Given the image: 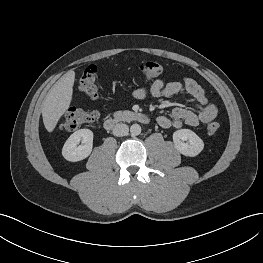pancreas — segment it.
Wrapping results in <instances>:
<instances>
[{
    "label": "pancreas",
    "mask_w": 263,
    "mask_h": 263,
    "mask_svg": "<svg viewBox=\"0 0 263 263\" xmlns=\"http://www.w3.org/2000/svg\"><path fill=\"white\" fill-rule=\"evenodd\" d=\"M132 114H133V112L124 110V111H117V112H115V113L113 114V116H114V118H115L117 121H120V120H125V119H127V118L130 117Z\"/></svg>",
    "instance_id": "pancreas-1"
}]
</instances>
